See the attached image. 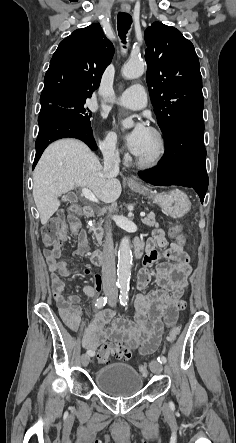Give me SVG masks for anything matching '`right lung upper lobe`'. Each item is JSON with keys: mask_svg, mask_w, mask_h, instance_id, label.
Masks as SVG:
<instances>
[{"mask_svg": "<svg viewBox=\"0 0 236 443\" xmlns=\"http://www.w3.org/2000/svg\"><path fill=\"white\" fill-rule=\"evenodd\" d=\"M113 54V44L99 24L75 30L53 54L40 101L57 94L91 97Z\"/></svg>", "mask_w": 236, "mask_h": 443, "instance_id": "1", "label": "right lung upper lobe"}]
</instances>
